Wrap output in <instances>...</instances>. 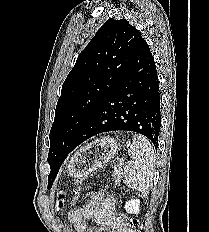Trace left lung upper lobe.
I'll use <instances>...</instances> for the list:
<instances>
[{
	"mask_svg": "<svg viewBox=\"0 0 209 232\" xmlns=\"http://www.w3.org/2000/svg\"><path fill=\"white\" fill-rule=\"evenodd\" d=\"M141 33L126 19H108L79 54L65 79L50 131L49 185L93 112L127 70Z\"/></svg>",
	"mask_w": 209,
	"mask_h": 232,
	"instance_id": "obj_1",
	"label": "left lung upper lobe"
}]
</instances>
